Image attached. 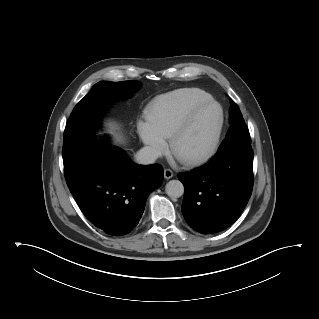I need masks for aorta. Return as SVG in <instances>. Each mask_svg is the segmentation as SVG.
Segmentation results:
<instances>
[{"mask_svg": "<svg viewBox=\"0 0 319 319\" xmlns=\"http://www.w3.org/2000/svg\"><path fill=\"white\" fill-rule=\"evenodd\" d=\"M166 194L171 198H179L184 193V186L179 180H170L165 186Z\"/></svg>", "mask_w": 319, "mask_h": 319, "instance_id": "1", "label": "aorta"}]
</instances>
